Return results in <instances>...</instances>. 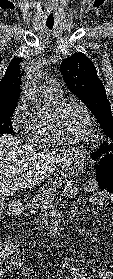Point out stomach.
<instances>
[{"instance_id":"1","label":"stomach","mask_w":113,"mask_h":279,"mask_svg":"<svg viewBox=\"0 0 113 279\" xmlns=\"http://www.w3.org/2000/svg\"><path fill=\"white\" fill-rule=\"evenodd\" d=\"M91 161L90 152L84 148L73 149L67 160L62 163V174L65 177L77 176Z\"/></svg>"}]
</instances>
